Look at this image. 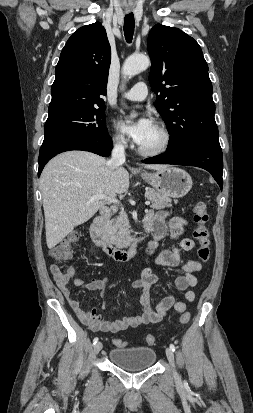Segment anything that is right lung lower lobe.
Instances as JSON below:
<instances>
[{"instance_id": "1", "label": "right lung lower lobe", "mask_w": 253, "mask_h": 413, "mask_svg": "<svg viewBox=\"0 0 253 413\" xmlns=\"http://www.w3.org/2000/svg\"><path fill=\"white\" fill-rule=\"evenodd\" d=\"M112 149V140L109 134L93 138H62L43 143L39 152L38 177L45 164L55 155L69 150H83L96 153L100 156H109Z\"/></svg>"}]
</instances>
